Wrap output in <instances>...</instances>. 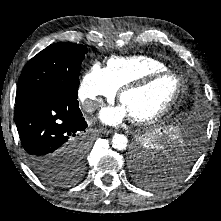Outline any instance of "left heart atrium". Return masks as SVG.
Segmentation results:
<instances>
[{"label": "left heart atrium", "instance_id": "left-heart-atrium-1", "mask_svg": "<svg viewBox=\"0 0 221 221\" xmlns=\"http://www.w3.org/2000/svg\"><path fill=\"white\" fill-rule=\"evenodd\" d=\"M127 117H129L128 113L121 104L115 107H106L100 113L101 120L110 125H117Z\"/></svg>", "mask_w": 221, "mask_h": 221}]
</instances>
